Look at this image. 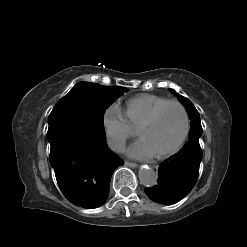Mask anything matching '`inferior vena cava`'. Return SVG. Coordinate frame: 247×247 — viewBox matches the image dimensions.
<instances>
[{
    "instance_id": "1",
    "label": "inferior vena cava",
    "mask_w": 247,
    "mask_h": 247,
    "mask_svg": "<svg viewBox=\"0 0 247 247\" xmlns=\"http://www.w3.org/2000/svg\"><path fill=\"white\" fill-rule=\"evenodd\" d=\"M109 147L116 152H124L125 151V142L121 140H109Z\"/></svg>"
}]
</instances>
